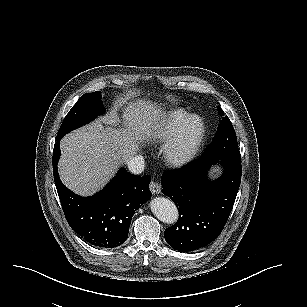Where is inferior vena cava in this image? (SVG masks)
Returning <instances> with one entry per match:
<instances>
[{"instance_id":"1","label":"inferior vena cava","mask_w":307,"mask_h":307,"mask_svg":"<svg viewBox=\"0 0 307 307\" xmlns=\"http://www.w3.org/2000/svg\"><path fill=\"white\" fill-rule=\"evenodd\" d=\"M127 165L132 173H141L144 170V157L142 155H136L127 161Z\"/></svg>"}]
</instances>
